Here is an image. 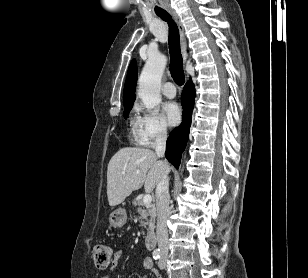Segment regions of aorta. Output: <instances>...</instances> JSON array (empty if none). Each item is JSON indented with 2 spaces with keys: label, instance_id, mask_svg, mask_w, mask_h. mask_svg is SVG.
<instances>
[{
  "label": "aorta",
  "instance_id": "1",
  "mask_svg": "<svg viewBox=\"0 0 308 278\" xmlns=\"http://www.w3.org/2000/svg\"><path fill=\"white\" fill-rule=\"evenodd\" d=\"M167 59L161 54L149 56L139 77L138 96L147 109L161 102L160 85Z\"/></svg>",
  "mask_w": 308,
  "mask_h": 278
}]
</instances>
